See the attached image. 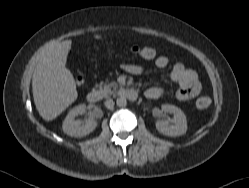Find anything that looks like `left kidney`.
I'll use <instances>...</instances> for the list:
<instances>
[{
    "label": "left kidney",
    "mask_w": 249,
    "mask_h": 188,
    "mask_svg": "<svg viewBox=\"0 0 249 188\" xmlns=\"http://www.w3.org/2000/svg\"><path fill=\"white\" fill-rule=\"evenodd\" d=\"M161 110L165 113H172L174 117L170 121H157L156 129L166 136L184 135L187 131V119L183 111L170 104H163Z\"/></svg>",
    "instance_id": "5707ae66"
}]
</instances>
